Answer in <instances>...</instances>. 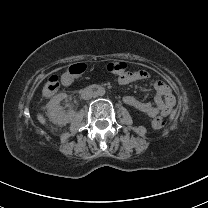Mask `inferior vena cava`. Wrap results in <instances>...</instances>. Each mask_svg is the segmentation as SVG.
I'll list each match as a JSON object with an SVG mask.
<instances>
[{
	"instance_id": "obj_1",
	"label": "inferior vena cava",
	"mask_w": 208,
	"mask_h": 208,
	"mask_svg": "<svg viewBox=\"0 0 208 208\" xmlns=\"http://www.w3.org/2000/svg\"><path fill=\"white\" fill-rule=\"evenodd\" d=\"M94 92L91 88L86 87L81 91V98L84 100H89L93 97Z\"/></svg>"
}]
</instances>
